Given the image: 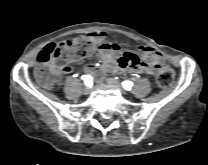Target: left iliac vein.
I'll return each mask as SVG.
<instances>
[{"instance_id": "left-iliac-vein-1", "label": "left iliac vein", "mask_w": 208, "mask_h": 165, "mask_svg": "<svg viewBox=\"0 0 208 165\" xmlns=\"http://www.w3.org/2000/svg\"><path fill=\"white\" fill-rule=\"evenodd\" d=\"M107 83L109 85H111L112 87L116 88L117 90H119L122 94H126V91L122 88V86L116 82L114 79H107Z\"/></svg>"}]
</instances>
